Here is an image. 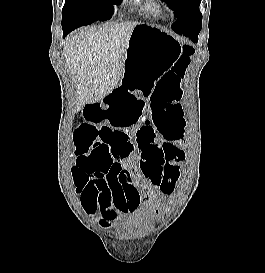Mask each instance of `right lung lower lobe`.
<instances>
[{"instance_id":"right-lung-lower-lobe-1","label":"right lung lower lobe","mask_w":265,"mask_h":273,"mask_svg":"<svg viewBox=\"0 0 265 273\" xmlns=\"http://www.w3.org/2000/svg\"><path fill=\"white\" fill-rule=\"evenodd\" d=\"M63 35H64V37H65V36L67 35V34H66V32H65V33H63Z\"/></svg>"}]
</instances>
